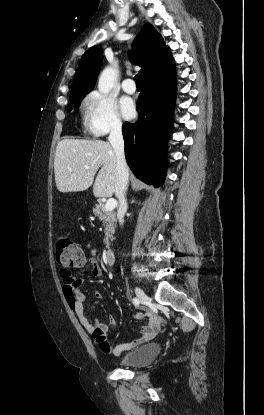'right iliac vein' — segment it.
<instances>
[{"label": "right iliac vein", "mask_w": 264, "mask_h": 415, "mask_svg": "<svg viewBox=\"0 0 264 415\" xmlns=\"http://www.w3.org/2000/svg\"><path fill=\"white\" fill-rule=\"evenodd\" d=\"M135 293H136L138 299L142 303L146 304V303L150 302V298L146 295V293L141 288L136 287L135 288Z\"/></svg>", "instance_id": "63e3f726"}]
</instances>
